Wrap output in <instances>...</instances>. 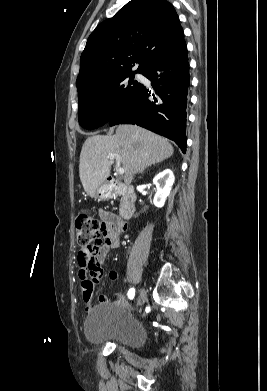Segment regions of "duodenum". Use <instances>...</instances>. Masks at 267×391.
<instances>
[{
    "instance_id": "duodenum-1",
    "label": "duodenum",
    "mask_w": 267,
    "mask_h": 391,
    "mask_svg": "<svg viewBox=\"0 0 267 391\" xmlns=\"http://www.w3.org/2000/svg\"><path fill=\"white\" fill-rule=\"evenodd\" d=\"M108 186L112 193L122 197L120 216L125 220L130 219L135 212L136 194L134 190L113 177L108 178Z\"/></svg>"
}]
</instances>
